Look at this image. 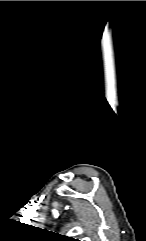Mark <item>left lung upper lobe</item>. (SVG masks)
Returning a JSON list of instances; mask_svg holds the SVG:
<instances>
[{
	"mask_svg": "<svg viewBox=\"0 0 146 241\" xmlns=\"http://www.w3.org/2000/svg\"><path fill=\"white\" fill-rule=\"evenodd\" d=\"M65 240H66V241H79V240L73 239V238H71V237H65Z\"/></svg>",
	"mask_w": 146,
	"mask_h": 241,
	"instance_id": "obj_1",
	"label": "left lung upper lobe"
}]
</instances>
